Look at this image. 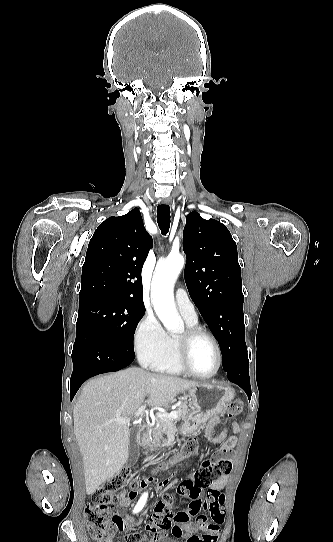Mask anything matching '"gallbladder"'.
Listing matches in <instances>:
<instances>
[{"label": "gallbladder", "instance_id": "obj_1", "mask_svg": "<svg viewBox=\"0 0 333 542\" xmlns=\"http://www.w3.org/2000/svg\"><path fill=\"white\" fill-rule=\"evenodd\" d=\"M137 434H138V428L137 426H134V428H131L130 430L129 452H128V460L126 462V466H128V468H131V466H134V464H136L140 456V450L137 444Z\"/></svg>", "mask_w": 333, "mask_h": 542}]
</instances>
